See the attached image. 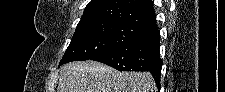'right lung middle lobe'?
<instances>
[{
	"label": "right lung middle lobe",
	"instance_id": "obj_1",
	"mask_svg": "<svg viewBox=\"0 0 225 92\" xmlns=\"http://www.w3.org/2000/svg\"><path fill=\"white\" fill-rule=\"evenodd\" d=\"M135 27L117 22L77 26L59 66L75 60H89L141 36Z\"/></svg>",
	"mask_w": 225,
	"mask_h": 92
}]
</instances>
